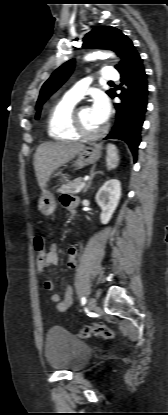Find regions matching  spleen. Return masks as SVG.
Masks as SVG:
<instances>
[{
    "label": "spleen",
    "mask_w": 168,
    "mask_h": 415,
    "mask_svg": "<svg viewBox=\"0 0 168 415\" xmlns=\"http://www.w3.org/2000/svg\"><path fill=\"white\" fill-rule=\"evenodd\" d=\"M107 169H115L119 164L118 149L114 144L107 145Z\"/></svg>",
    "instance_id": "3e777b00"
}]
</instances>
